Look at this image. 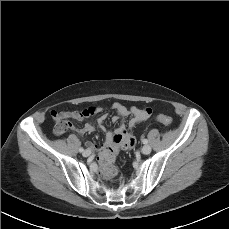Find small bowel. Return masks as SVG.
<instances>
[{
    "mask_svg": "<svg viewBox=\"0 0 229 229\" xmlns=\"http://www.w3.org/2000/svg\"><path fill=\"white\" fill-rule=\"evenodd\" d=\"M113 108L116 110L117 115L112 118V121L116 122V121H118L119 118H125L127 116H132V119L129 122L130 127H133L134 125H136L138 123H142L149 118V115L144 112L143 108H138V107L128 108V107H126L120 103H115L113 105ZM91 109H93V107H89V108L81 110V111L69 112L68 115L74 119L82 120L86 117L84 114L87 111H90ZM99 111H101V109L96 108V113ZM105 119H106V115H102L97 120V123H98L100 129L104 132H105V129L102 127V124L105 121ZM95 130H96V126H94L91 123H86L83 127L76 129V131L81 135H86V134L92 133ZM116 135H122L123 136L122 141L118 144V147H116V148H120L122 146L127 147V148H132L135 146V144H136L135 137L126 131V128L124 125H121L115 132L109 131V132L105 133V136H106L105 146L106 147H115V145L113 143V138ZM87 145L89 147H92V145L89 143H87Z\"/></svg>",
    "mask_w": 229,
    "mask_h": 229,
    "instance_id": "small-bowel-1",
    "label": "small bowel"
}]
</instances>
